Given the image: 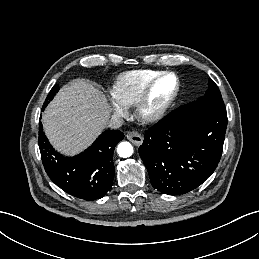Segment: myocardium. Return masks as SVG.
I'll return each mask as SVG.
<instances>
[{"instance_id": "myocardium-1", "label": "myocardium", "mask_w": 259, "mask_h": 259, "mask_svg": "<svg viewBox=\"0 0 259 259\" xmlns=\"http://www.w3.org/2000/svg\"><path fill=\"white\" fill-rule=\"evenodd\" d=\"M167 76H173L175 78V88L171 96L159 107L148 110V101L151 92L158 81ZM180 91V79L178 75L173 71H162L153 77L144 87L139 97L134 104L135 116L143 123H154L159 121L172 106L176 100Z\"/></svg>"}]
</instances>
